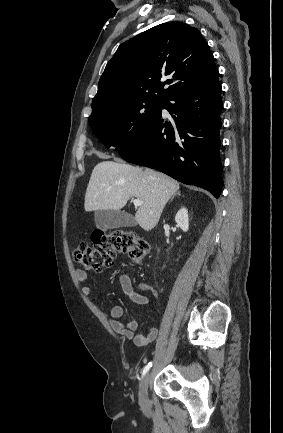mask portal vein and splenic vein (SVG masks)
Listing matches in <instances>:
<instances>
[{"label": "portal vein and splenic vein", "mask_w": 283, "mask_h": 433, "mask_svg": "<svg viewBox=\"0 0 283 433\" xmlns=\"http://www.w3.org/2000/svg\"><path fill=\"white\" fill-rule=\"evenodd\" d=\"M133 204H135V206H140V204H143V200H139V198H134Z\"/></svg>", "instance_id": "1"}]
</instances>
